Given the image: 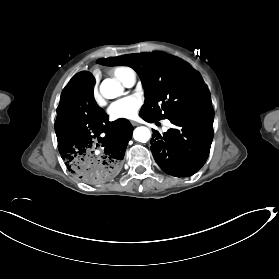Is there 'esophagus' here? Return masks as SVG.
<instances>
[{"label":"esophagus","instance_id":"1","mask_svg":"<svg viewBox=\"0 0 279 279\" xmlns=\"http://www.w3.org/2000/svg\"><path fill=\"white\" fill-rule=\"evenodd\" d=\"M131 124H132L133 126L139 125L136 121H131Z\"/></svg>","mask_w":279,"mask_h":279}]
</instances>
